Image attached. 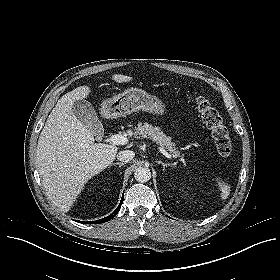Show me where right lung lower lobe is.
Masks as SVG:
<instances>
[{
	"mask_svg": "<svg viewBox=\"0 0 280 280\" xmlns=\"http://www.w3.org/2000/svg\"><path fill=\"white\" fill-rule=\"evenodd\" d=\"M123 199H124V196H122V199L118 205V207L116 208V210L109 216L105 217V218H102L100 220H96V221H93L91 222L92 224H99V223H103V222H107L109 220H111L112 218H114L117 213L119 212L120 208H121V205H122V202H123ZM78 221V220H77ZM78 222H81V223H89V222H83V221H78Z\"/></svg>",
	"mask_w": 280,
	"mask_h": 280,
	"instance_id": "98d812e1",
	"label": "right lung lower lobe"
}]
</instances>
